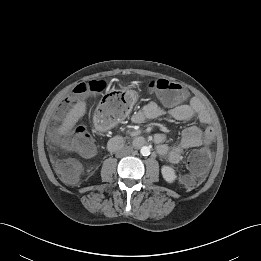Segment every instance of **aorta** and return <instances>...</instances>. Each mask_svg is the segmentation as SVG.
Masks as SVG:
<instances>
[{
  "label": "aorta",
  "instance_id": "aorta-1",
  "mask_svg": "<svg viewBox=\"0 0 261 261\" xmlns=\"http://www.w3.org/2000/svg\"><path fill=\"white\" fill-rule=\"evenodd\" d=\"M140 153H141L143 156H148V155L150 154V147H148V146H143V147H141Z\"/></svg>",
  "mask_w": 261,
  "mask_h": 261
}]
</instances>
